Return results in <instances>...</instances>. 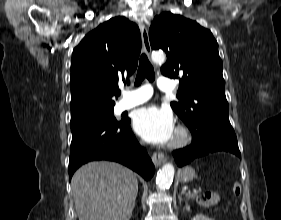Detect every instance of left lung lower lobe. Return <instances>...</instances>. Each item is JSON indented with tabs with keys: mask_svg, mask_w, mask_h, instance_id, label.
Listing matches in <instances>:
<instances>
[{
	"mask_svg": "<svg viewBox=\"0 0 281 220\" xmlns=\"http://www.w3.org/2000/svg\"><path fill=\"white\" fill-rule=\"evenodd\" d=\"M189 129L193 143L173 152L178 166L217 151L230 152L241 157L237 137L229 121L205 119Z\"/></svg>",
	"mask_w": 281,
	"mask_h": 220,
	"instance_id": "0a47b994",
	"label": "left lung lower lobe"
}]
</instances>
